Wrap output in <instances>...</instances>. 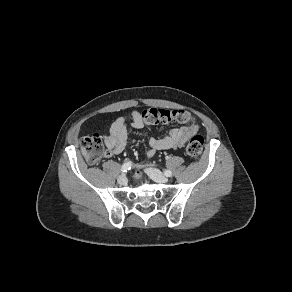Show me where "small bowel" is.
Segmentation results:
<instances>
[{
  "mask_svg": "<svg viewBox=\"0 0 292 292\" xmlns=\"http://www.w3.org/2000/svg\"><path fill=\"white\" fill-rule=\"evenodd\" d=\"M188 120L182 122L181 126L172 129L162 138L150 137L148 139L147 155L153 157L156 152L161 150H172L181 148L193 135L199 130V125L193 120L191 114L186 111ZM148 122L142 116V113L134 111L130 114V127L140 130ZM128 123L125 117H118L110 126L109 133L104 136L106 146L105 156L113 157L121 153L129 144ZM136 178L141 177V172L135 174Z\"/></svg>",
  "mask_w": 292,
  "mask_h": 292,
  "instance_id": "1",
  "label": "small bowel"
}]
</instances>
